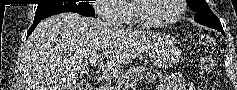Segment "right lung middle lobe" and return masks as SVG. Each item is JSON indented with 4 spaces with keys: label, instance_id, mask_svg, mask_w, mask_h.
Masks as SVG:
<instances>
[{
    "label": "right lung middle lobe",
    "instance_id": "1",
    "mask_svg": "<svg viewBox=\"0 0 237 90\" xmlns=\"http://www.w3.org/2000/svg\"><path fill=\"white\" fill-rule=\"evenodd\" d=\"M63 12H74L79 14H86L95 16L93 6L88 2L79 3H59V4H38L34 21L43 20L51 15L63 13Z\"/></svg>",
    "mask_w": 237,
    "mask_h": 90
}]
</instances>
